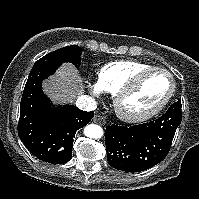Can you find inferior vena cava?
I'll list each match as a JSON object with an SVG mask.
<instances>
[{"label":"inferior vena cava","instance_id":"602c4592","mask_svg":"<svg viewBox=\"0 0 199 199\" xmlns=\"http://www.w3.org/2000/svg\"><path fill=\"white\" fill-rule=\"evenodd\" d=\"M76 106L84 111H93L97 108V103L94 98L87 95H81L76 100Z\"/></svg>","mask_w":199,"mask_h":199}]
</instances>
